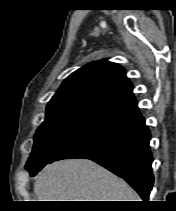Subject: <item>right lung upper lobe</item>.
Segmentation results:
<instances>
[{"label": "right lung upper lobe", "instance_id": "right-lung-upper-lobe-1", "mask_svg": "<svg viewBox=\"0 0 176 211\" xmlns=\"http://www.w3.org/2000/svg\"><path fill=\"white\" fill-rule=\"evenodd\" d=\"M133 85L122 66L101 60L78 69L62 83L46 115L101 122L138 109Z\"/></svg>", "mask_w": 176, "mask_h": 211}]
</instances>
